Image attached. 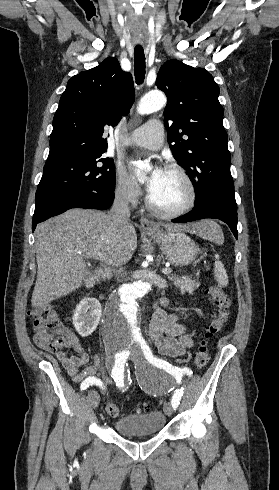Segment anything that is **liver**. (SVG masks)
I'll return each instance as SVG.
<instances>
[{"instance_id":"obj_1","label":"liver","mask_w":279,"mask_h":490,"mask_svg":"<svg viewBox=\"0 0 279 490\" xmlns=\"http://www.w3.org/2000/svg\"><path fill=\"white\" fill-rule=\"evenodd\" d=\"M166 228L199 236L203 230L202 222ZM35 238L38 270L31 298L34 308L81 288L87 276L84 258L103 256L107 266H117L129 262L137 248L132 224L114 226L108 212L80 208L38 224ZM107 266L100 270L101 278L113 274Z\"/></svg>"}]
</instances>
